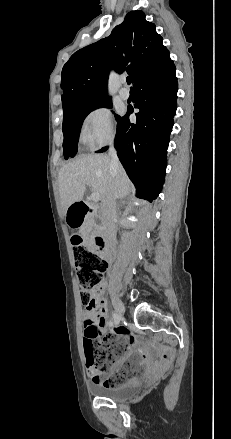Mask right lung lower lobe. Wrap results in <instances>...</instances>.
<instances>
[{
	"instance_id": "right-lung-lower-lobe-1",
	"label": "right lung lower lobe",
	"mask_w": 231,
	"mask_h": 439,
	"mask_svg": "<svg viewBox=\"0 0 231 439\" xmlns=\"http://www.w3.org/2000/svg\"><path fill=\"white\" fill-rule=\"evenodd\" d=\"M175 71L169 56L155 70L138 79L134 83L135 108L140 109L136 124L129 120L132 108L117 120L114 144L119 160L138 196L150 202L157 198L164 183L169 136L177 108Z\"/></svg>"
}]
</instances>
